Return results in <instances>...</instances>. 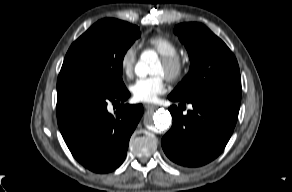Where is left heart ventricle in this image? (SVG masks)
Returning a JSON list of instances; mask_svg holds the SVG:
<instances>
[{"instance_id": "1", "label": "left heart ventricle", "mask_w": 292, "mask_h": 192, "mask_svg": "<svg viewBox=\"0 0 292 192\" xmlns=\"http://www.w3.org/2000/svg\"><path fill=\"white\" fill-rule=\"evenodd\" d=\"M152 72L155 74H164V66L161 61L154 67Z\"/></svg>"}]
</instances>
